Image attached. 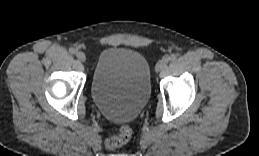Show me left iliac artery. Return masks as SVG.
Instances as JSON below:
<instances>
[{
  "label": "left iliac artery",
  "instance_id": "obj_1",
  "mask_svg": "<svg viewBox=\"0 0 259 156\" xmlns=\"http://www.w3.org/2000/svg\"><path fill=\"white\" fill-rule=\"evenodd\" d=\"M176 59V55L175 54H171L170 56L167 57L168 61H174Z\"/></svg>",
  "mask_w": 259,
  "mask_h": 156
}]
</instances>
